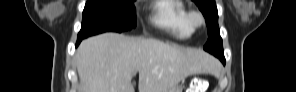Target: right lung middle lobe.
<instances>
[{
    "label": "right lung middle lobe",
    "instance_id": "obj_1",
    "mask_svg": "<svg viewBox=\"0 0 296 92\" xmlns=\"http://www.w3.org/2000/svg\"><path fill=\"white\" fill-rule=\"evenodd\" d=\"M136 27L134 0H87L79 39L106 31L123 32Z\"/></svg>",
    "mask_w": 296,
    "mask_h": 92
}]
</instances>
